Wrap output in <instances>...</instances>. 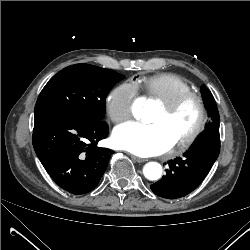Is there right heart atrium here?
<instances>
[{"label":"right heart atrium","mask_w":250,"mask_h":250,"mask_svg":"<svg viewBox=\"0 0 250 250\" xmlns=\"http://www.w3.org/2000/svg\"><path fill=\"white\" fill-rule=\"evenodd\" d=\"M136 94V87L132 83H121L108 92L105 108L114 123L123 122L132 115Z\"/></svg>","instance_id":"d8ad5b80"}]
</instances>
